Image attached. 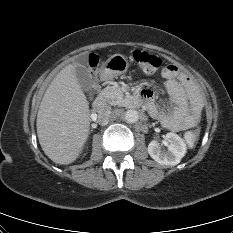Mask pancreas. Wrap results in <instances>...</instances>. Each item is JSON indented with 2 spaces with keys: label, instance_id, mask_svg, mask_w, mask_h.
I'll return each mask as SVG.
<instances>
[{
  "label": "pancreas",
  "instance_id": "cf45deb5",
  "mask_svg": "<svg viewBox=\"0 0 233 233\" xmlns=\"http://www.w3.org/2000/svg\"><path fill=\"white\" fill-rule=\"evenodd\" d=\"M102 95L107 99V102L113 106H129L130 98L124 96L119 86H108L102 90Z\"/></svg>",
  "mask_w": 233,
  "mask_h": 233
}]
</instances>
